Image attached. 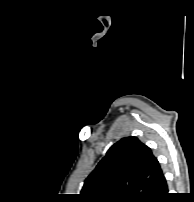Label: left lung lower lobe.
Listing matches in <instances>:
<instances>
[{
	"label": "left lung lower lobe",
	"instance_id": "left-lung-lower-lobe-1",
	"mask_svg": "<svg viewBox=\"0 0 194 202\" xmlns=\"http://www.w3.org/2000/svg\"><path fill=\"white\" fill-rule=\"evenodd\" d=\"M168 195L169 193H168L167 184L165 181V177H163L152 202H163L168 197Z\"/></svg>",
	"mask_w": 194,
	"mask_h": 202
}]
</instances>
